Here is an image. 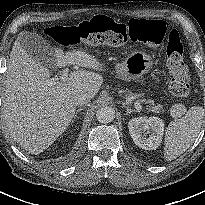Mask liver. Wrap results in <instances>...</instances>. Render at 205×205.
<instances>
[{
	"instance_id": "obj_1",
	"label": "liver",
	"mask_w": 205,
	"mask_h": 205,
	"mask_svg": "<svg viewBox=\"0 0 205 205\" xmlns=\"http://www.w3.org/2000/svg\"><path fill=\"white\" fill-rule=\"evenodd\" d=\"M21 32L10 54L3 95V115L15 142L28 152L38 154L47 149L69 126L75 110V97L81 92L94 97L103 82L99 73L71 72L65 82L48 86L49 69L34 60L20 42ZM54 50V49H53ZM51 69L69 64L103 71L104 65L82 50L64 52L55 48Z\"/></svg>"
}]
</instances>
